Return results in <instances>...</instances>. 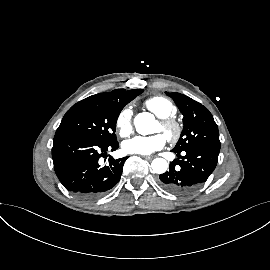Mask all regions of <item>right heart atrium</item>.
<instances>
[{
    "mask_svg": "<svg viewBox=\"0 0 270 270\" xmlns=\"http://www.w3.org/2000/svg\"><path fill=\"white\" fill-rule=\"evenodd\" d=\"M115 127L121 137H127L131 134L132 125V111L125 107L119 111L115 119Z\"/></svg>",
    "mask_w": 270,
    "mask_h": 270,
    "instance_id": "d8ad5b80",
    "label": "right heart atrium"
}]
</instances>
